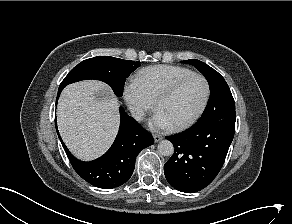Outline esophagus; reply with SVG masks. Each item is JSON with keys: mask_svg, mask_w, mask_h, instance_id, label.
<instances>
[{"mask_svg": "<svg viewBox=\"0 0 292 224\" xmlns=\"http://www.w3.org/2000/svg\"><path fill=\"white\" fill-rule=\"evenodd\" d=\"M153 138L155 142H159L160 140L163 139V136L159 134H153Z\"/></svg>", "mask_w": 292, "mask_h": 224, "instance_id": "obj_1", "label": "esophagus"}]
</instances>
